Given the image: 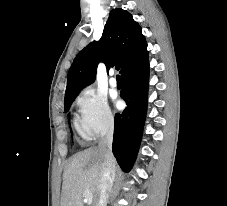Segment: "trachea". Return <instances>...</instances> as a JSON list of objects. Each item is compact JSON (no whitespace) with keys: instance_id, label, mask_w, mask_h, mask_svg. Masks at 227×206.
Wrapping results in <instances>:
<instances>
[{"instance_id":"3493384b","label":"trachea","mask_w":227,"mask_h":206,"mask_svg":"<svg viewBox=\"0 0 227 206\" xmlns=\"http://www.w3.org/2000/svg\"><path fill=\"white\" fill-rule=\"evenodd\" d=\"M115 69H116V70H119V69H120V66L117 65V66L115 67ZM117 77L120 78L119 76H117Z\"/></svg>"}]
</instances>
